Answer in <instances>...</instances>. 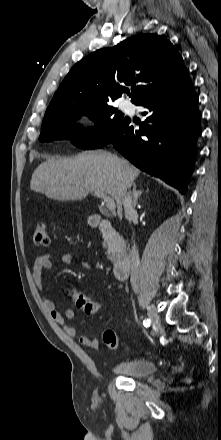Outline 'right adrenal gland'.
<instances>
[{"label": "right adrenal gland", "instance_id": "obj_1", "mask_svg": "<svg viewBox=\"0 0 221 440\" xmlns=\"http://www.w3.org/2000/svg\"><path fill=\"white\" fill-rule=\"evenodd\" d=\"M142 190L136 189V184L133 185V205H138V199L142 195Z\"/></svg>", "mask_w": 221, "mask_h": 440}]
</instances>
